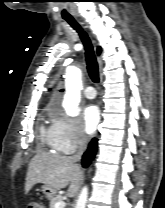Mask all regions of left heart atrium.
I'll return each instance as SVG.
<instances>
[{
    "instance_id": "39dd6f15",
    "label": "left heart atrium",
    "mask_w": 165,
    "mask_h": 208,
    "mask_svg": "<svg viewBox=\"0 0 165 208\" xmlns=\"http://www.w3.org/2000/svg\"><path fill=\"white\" fill-rule=\"evenodd\" d=\"M100 121V112L97 106L89 105L83 110V127L86 133L95 131Z\"/></svg>"
}]
</instances>
